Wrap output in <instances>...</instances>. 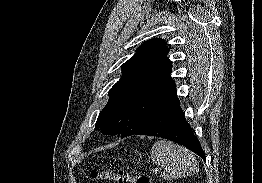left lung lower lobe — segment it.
Returning <instances> with one entry per match:
<instances>
[{"instance_id":"left-lung-lower-lobe-1","label":"left lung lower lobe","mask_w":262,"mask_h":183,"mask_svg":"<svg viewBox=\"0 0 262 183\" xmlns=\"http://www.w3.org/2000/svg\"><path fill=\"white\" fill-rule=\"evenodd\" d=\"M134 134L172 140L198 154L205 161V154L185 119L176 93L159 106L147 123Z\"/></svg>"}]
</instances>
